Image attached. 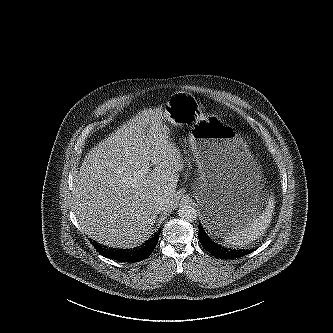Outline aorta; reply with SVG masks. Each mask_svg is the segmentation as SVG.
Wrapping results in <instances>:
<instances>
[{
	"label": "aorta",
	"mask_w": 333,
	"mask_h": 333,
	"mask_svg": "<svg viewBox=\"0 0 333 333\" xmlns=\"http://www.w3.org/2000/svg\"><path fill=\"white\" fill-rule=\"evenodd\" d=\"M178 215L185 221L193 222L197 218V211L190 205H182L178 210Z\"/></svg>",
	"instance_id": "obj_1"
}]
</instances>
